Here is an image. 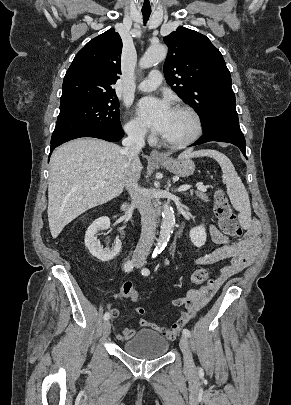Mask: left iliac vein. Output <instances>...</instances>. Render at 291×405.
<instances>
[{
	"instance_id": "4c4485c4",
	"label": "left iliac vein",
	"mask_w": 291,
	"mask_h": 405,
	"mask_svg": "<svg viewBox=\"0 0 291 405\" xmlns=\"http://www.w3.org/2000/svg\"><path fill=\"white\" fill-rule=\"evenodd\" d=\"M180 349L184 356V365L188 371H192L195 368L192 353L189 346V341L186 336H182L180 339Z\"/></svg>"
}]
</instances>
